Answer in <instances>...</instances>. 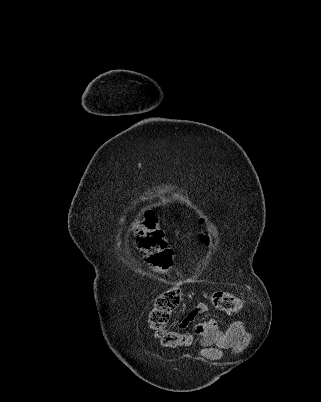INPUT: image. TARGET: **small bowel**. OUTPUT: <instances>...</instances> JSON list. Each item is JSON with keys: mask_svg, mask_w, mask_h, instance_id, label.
Returning <instances> with one entry per match:
<instances>
[{"mask_svg": "<svg viewBox=\"0 0 321 402\" xmlns=\"http://www.w3.org/2000/svg\"><path fill=\"white\" fill-rule=\"evenodd\" d=\"M209 310L205 303H199L189 310L187 315L180 322L181 328L188 327L194 320ZM231 328H223L216 320H207L195 324V334L200 337L202 346L201 352L211 359H218L225 348L240 349L249 339V333L243 329L248 327V317L243 320H232ZM244 331V338H239V333Z\"/></svg>", "mask_w": 321, "mask_h": 402, "instance_id": "c3829d8e", "label": "small bowel"}]
</instances>
